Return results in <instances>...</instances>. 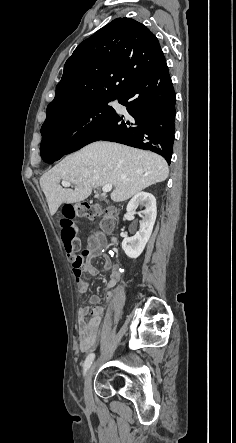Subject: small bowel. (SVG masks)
I'll return each instance as SVG.
<instances>
[{
	"label": "small bowel",
	"mask_w": 236,
	"mask_h": 443,
	"mask_svg": "<svg viewBox=\"0 0 236 443\" xmlns=\"http://www.w3.org/2000/svg\"><path fill=\"white\" fill-rule=\"evenodd\" d=\"M106 240L104 235L97 229L89 232L87 239L88 256L80 270L72 268L77 289L80 293H86L89 289L88 282L83 278V273L91 276L99 275V269L92 263L95 258H102L104 269L110 271V279L106 283L107 301L113 302L119 293L118 285L123 278L124 269L120 265L112 264L109 256L105 253ZM89 305L79 310V349L87 352L94 348L99 339L101 316L103 308L100 306L101 297L92 295L88 299Z\"/></svg>",
	"instance_id": "obj_1"
}]
</instances>
